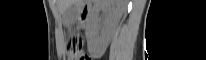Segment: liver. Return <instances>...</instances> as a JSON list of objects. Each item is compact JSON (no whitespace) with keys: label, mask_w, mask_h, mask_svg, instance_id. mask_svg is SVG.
<instances>
[{"label":"liver","mask_w":206,"mask_h":60,"mask_svg":"<svg viewBox=\"0 0 206 60\" xmlns=\"http://www.w3.org/2000/svg\"><path fill=\"white\" fill-rule=\"evenodd\" d=\"M57 7L61 13H63L68 7H70L73 3L75 4L77 0H56ZM115 7H113L110 17L116 27L123 12L125 9L126 0H115L114 2Z\"/></svg>","instance_id":"1"}]
</instances>
